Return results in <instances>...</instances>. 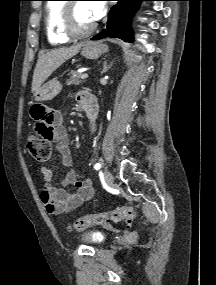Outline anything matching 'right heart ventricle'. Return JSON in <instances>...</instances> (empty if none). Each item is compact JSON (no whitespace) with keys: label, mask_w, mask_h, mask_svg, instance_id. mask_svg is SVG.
Here are the masks:
<instances>
[{"label":"right heart ventricle","mask_w":216,"mask_h":285,"mask_svg":"<svg viewBox=\"0 0 216 285\" xmlns=\"http://www.w3.org/2000/svg\"><path fill=\"white\" fill-rule=\"evenodd\" d=\"M64 5L65 3L60 0H51L45 7L46 36L48 42L54 46L66 44L70 40L61 28V16Z\"/></svg>","instance_id":"e07e8e85"}]
</instances>
